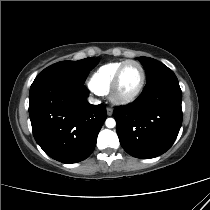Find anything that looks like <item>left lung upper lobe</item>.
I'll use <instances>...</instances> for the list:
<instances>
[{
    "label": "left lung upper lobe",
    "mask_w": 210,
    "mask_h": 210,
    "mask_svg": "<svg viewBox=\"0 0 210 210\" xmlns=\"http://www.w3.org/2000/svg\"><path fill=\"white\" fill-rule=\"evenodd\" d=\"M141 64L144 66L147 76V81L154 79L155 77L171 71L163 63L149 57H139L137 58Z\"/></svg>",
    "instance_id": "left-lung-upper-lobe-1"
}]
</instances>
